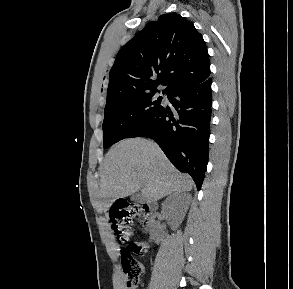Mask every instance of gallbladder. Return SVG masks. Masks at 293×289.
I'll return each mask as SVG.
<instances>
[{"label": "gallbladder", "instance_id": "obj_1", "mask_svg": "<svg viewBox=\"0 0 293 289\" xmlns=\"http://www.w3.org/2000/svg\"><path fill=\"white\" fill-rule=\"evenodd\" d=\"M131 199H132L133 201H135V202H138V203H142V202H143V198H142V196H141L138 192L134 193V194L131 196Z\"/></svg>", "mask_w": 293, "mask_h": 289}]
</instances>
